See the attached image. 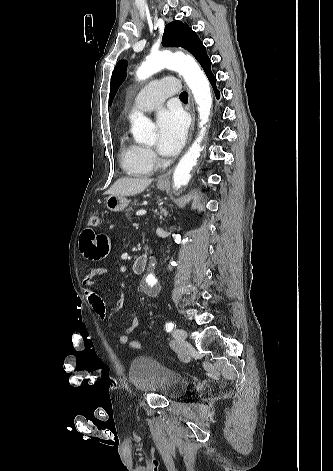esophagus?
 <instances>
[{
    "label": "esophagus",
    "mask_w": 333,
    "mask_h": 471,
    "mask_svg": "<svg viewBox=\"0 0 333 471\" xmlns=\"http://www.w3.org/2000/svg\"><path fill=\"white\" fill-rule=\"evenodd\" d=\"M188 110L191 114V118H192V122H191V126H190V132H189V139H188V143L191 141V138H192V133H193V130H194V125H195V109H194V102H193V98L189 92V105H188ZM173 169H170L169 171H167L166 173L162 174L161 176H159L158 178V182L160 183H166V182H169L170 180V176H171V173H172Z\"/></svg>",
    "instance_id": "obj_1"
}]
</instances>
